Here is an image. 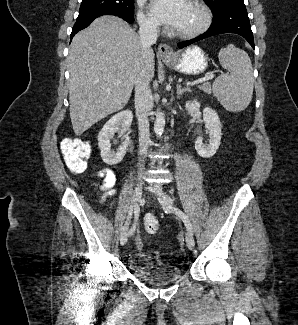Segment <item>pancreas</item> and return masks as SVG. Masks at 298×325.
Masks as SVG:
<instances>
[{
	"mask_svg": "<svg viewBox=\"0 0 298 325\" xmlns=\"http://www.w3.org/2000/svg\"><path fill=\"white\" fill-rule=\"evenodd\" d=\"M198 88L206 92V94H212L211 82H203V84H198Z\"/></svg>",
	"mask_w": 298,
	"mask_h": 325,
	"instance_id": "1",
	"label": "pancreas"
}]
</instances>
